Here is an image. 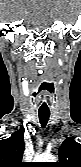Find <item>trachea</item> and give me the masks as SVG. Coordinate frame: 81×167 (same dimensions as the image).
Wrapping results in <instances>:
<instances>
[{
	"label": "trachea",
	"mask_w": 81,
	"mask_h": 167,
	"mask_svg": "<svg viewBox=\"0 0 81 167\" xmlns=\"http://www.w3.org/2000/svg\"><path fill=\"white\" fill-rule=\"evenodd\" d=\"M41 126L44 128L48 123L50 112L49 111H39L38 112Z\"/></svg>",
	"instance_id": "obj_1"
}]
</instances>
